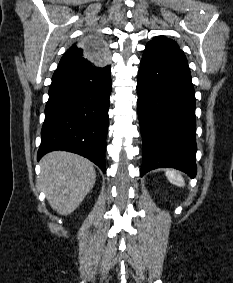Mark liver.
Instances as JSON below:
<instances>
[{
  "label": "liver",
  "instance_id": "1",
  "mask_svg": "<svg viewBox=\"0 0 233 283\" xmlns=\"http://www.w3.org/2000/svg\"><path fill=\"white\" fill-rule=\"evenodd\" d=\"M39 183L50 206L61 215L71 214L96 181L92 162L65 151L46 154L40 162Z\"/></svg>",
  "mask_w": 233,
  "mask_h": 283
}]
</instances>
